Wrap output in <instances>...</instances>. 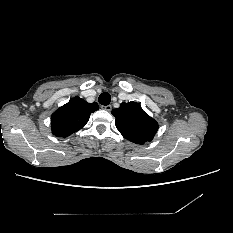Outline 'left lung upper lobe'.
<instances>
[{
  "label": "left lung upper lobe",
  "mask_w": 233,
  "mask_h": 233,
  "mask_svg": "<svg viewBox=\"0 0 233 233\" xmlns=\"http://www.w3.org/2000/svg\"><path fill=\"white\" fill-rule=\"evenodd\" d=\"M112 114L116 118L117 129L133 143L143 145L151 141L158 130V123L136 102L122 103L112 110Z\"/></svg>",
  "instance_id": "1"
}]
</instances>
